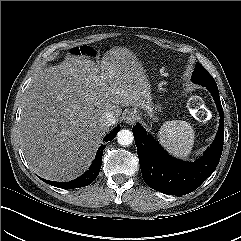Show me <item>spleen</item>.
I'll list each match as a JSON object with an SVG mask.
<instances>
[{
    "label": "spleen",
    "mask_w": 241,
    "mask_h": 241,
    "mask_svg": "<svg viewBox=\"0 0 241 241\" xmlns=\"http://www.w3.org/2000/svg\"><path fill=\"white\" fill-rule=\"evenodd\" d=\"M158 140L168 153L186 160L194 145V130L186 121H168L158 132Z\"/></svg>",
    "instance_id": "spleen-1"
}]
</instances>
